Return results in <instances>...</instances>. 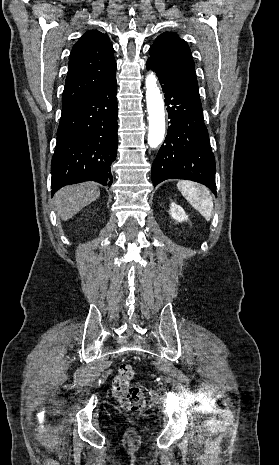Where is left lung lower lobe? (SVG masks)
<instances>
[{"instance_id": "obj_1", "label": "left lung lower lobe", "mask_w": 279, "mask_h": 465, "mask_svg": "<svg viewBox=\"0 0 279 465\" xmlns=\"http://www.w3.org/2000/svg\"><path fill=\"white\" fill-rule=\"evenodd\" d=\"M146 67L159 78L170 119L168 134L152 165L154 187L166 179H187L216 194L215 157L203 121L198 85L153 61L147 60Z\"/></svg>"}]
</instances>
